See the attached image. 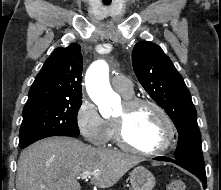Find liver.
<instances>
[{
	"label": "liver",
	"mask_w": 221,
	"mask_h": 190,
	"mask_svg": "<svg viewBox=\"0 0 221 190\" xmlns=\"http://www.w3.org/2000/svg\"><path fill=\"white\" fill-rule=\"evenodd\" d=\"M140 156L106 148H95L76 139L53 137L22 151L17 167V190H80L78 177L96 171L91 183L109 188L132 167Z\"/></svg>",
	"instance_id": "6515ba94"
}]
</instances>
